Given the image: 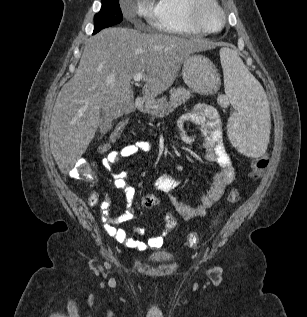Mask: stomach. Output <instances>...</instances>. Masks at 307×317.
Segmentation results:
<instances>
[{
    "mask_svg": "<svg viewBox=\"0 0 307 317\" xmlns=\"http://www.w3.org/2000/svg\"><path fill=\"white\" fill-rule=\"evenodd\" d=\"M182 76L186 85L194 92L207 94L215 92L219 87V76L213 63L200 54L188 55L183 61ZM163 101L149 100L146 111L157 115Z\"/></svg>",
    "mask_w": 307,
    "mask_h": 317,
    "instance_id": "stomach-1",
    "label": "stomach"
}]
</instances>
